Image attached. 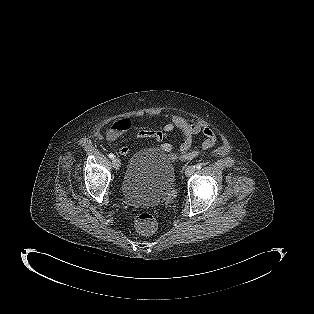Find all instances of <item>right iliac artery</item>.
Here are the masks:
<instances>
[{
	"label": "right iliac artery",
	"instance_id": "82829eb1",
	"mask_svg": "<svg viewBox=\"0 0 314 314\" xmlns=\"http://www.w3.org/2000/svg\"><path fill=\"white\" fill-rule=\"evenodd\" d=\"M108 156L110 159H114V157H115L114 154H112V153H110Z\"/></svg>",
	"mask_w": 314,
	"mask_h": 314
}]
</instances>
